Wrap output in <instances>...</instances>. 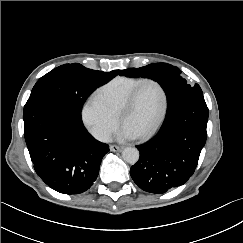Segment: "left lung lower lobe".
<instances>
[{
  "instance_id": "1",
  "label": "left lung lower lobe",
  "mask_w": 243,
  "mask_h": 243,
  "mask_svg": "<svg viewBox=\"0 0 243 243\" xmlns=\"http://www.w3.org/2000/svg\"><path fill=\"white\" fill-rule=\"evenodd\" d=\"M208 107L203 94L192 96L166 113L159 132L136 146L140 158L130 169L144 191L165 193L194 173L207 138Z\"/></svg>"
}]
</instances>
